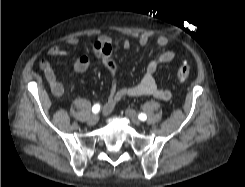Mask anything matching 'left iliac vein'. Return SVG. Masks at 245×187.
<instances>
[{"label":"left iliac vein","mask_w":245,"mask_h":187,"mask_svg":"<svg viewBox=\"0 0 245 187\" xmlns=\"http://www.w3.org/2000/svg\"><path fill=\"white\" fill-rule=\"evenodd\" d=\"M126 116L133 122V124H135L136 126H140L141 122L138 119L137 113L135 110L133 109H127L125 111Z\"/></svg>","instance_id":"left-iliac-vein-1"}]
</instances>
